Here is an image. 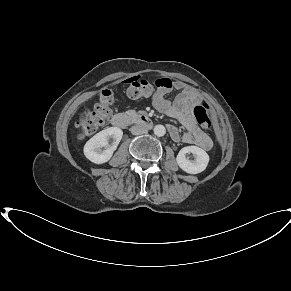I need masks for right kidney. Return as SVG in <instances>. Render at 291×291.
I'll list each match as a JSON object with an SVG mask.
<instances>
[{"instance_id": "right-kidney-1", "label": "right kidney", "mask_w": 291, "mask_h": 291, "mask_svg": "<svg viewBox=\"0 0 291 291\" xmlns=\"http://www.w3.org/2000/svg\"><path fill=\"white\" fill-rule=\"evenodd\" d=\"M122 136L123 132L118 127H110L100 131L86 142L83 150L85 157L95 164L108 162L121 141ZM110 138L113 140L111 146L108 142ZM102 148L104 149L102 150Z\"/></svg>"}]
</instances>
